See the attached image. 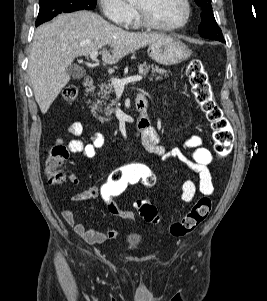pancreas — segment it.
I'll return each instance as SVG.
<instances>
[{"label": "pancreas", "instance_id": "pancreas-1", "mask_svg": "<svg viewBox=\"0 0 267 301\" xmlns=\"http://www.w3.org/2000/svg\"><path fill=\"white\" fill-rule=\"evenodd\" d=\"M139 70L142 74H147L151 71V76H156V80H160L163 77H167L170 71L160 68L159 66H154L147 64L144 62L143 64L139 65ZM100 90L95 93L99 99L93 102L91 109L95 116H97L96 111H100L101 115L98 117L101 123L109 122L111 120V115L115 112V109L112 108L115 105L116 101L111 100V104L107 105L105 108H101V105H106V101L109 99V94L114 92V87L112 83H102L99 85Z\"/></svg>", "mask_w": 267, "mask_h": 301}]
</instances>
